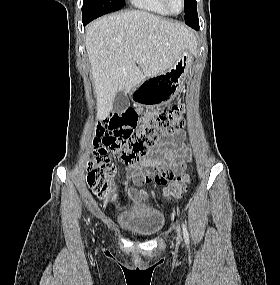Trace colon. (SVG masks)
<instances>
[{
  "mask_svg": "<svg viewBox=\"0 0 280 285\" xmlns=\"http://www.w3.org/2000/svg\"><path fill=\"white\" fill-rule=\"evenodd\" d=\"M137 121L138 112L134 108H127L123 112L111 114L97 128L98 139L94 161L87 168V184L101 199L113 195L111 177L115 168L111 164L110 155L120 154L126 164L137 162L160 138L183 128L186 109L184 105H174L162 110L141 127H137ZM189 182L187 173H178L166 185L165 196H181Z\"/></svg>",
  "mask_w": 280,
  "mask_h": 285,
  "instance_id": "colon-1",
  "label": "colon"
}]
</instances>
